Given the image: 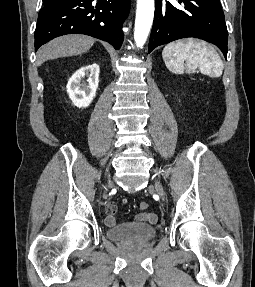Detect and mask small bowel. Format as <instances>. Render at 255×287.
<instances>
[{
	"instance_id": "obj_1",
	"label": "small bowel",
	"mask_w": 255,
	"mask_h": 287,
	"mask_svg": "<svg viewBox=\"0 0 255 287\" xmlns=\"http://www.w3.org/2000/svg\"><path fill=\"white\" fill-rule=\"evenodd\" d=\"M128 200L126 198L122 199V203L126 204ZM116 213H117V205L113 202L107 204L106 206V219L105 223L108 226H114L116 224ZM158 220V217L153 212H141L138 213L133 222H143V223H150L155 224Z\"/></svg>"
}]
</instances>
